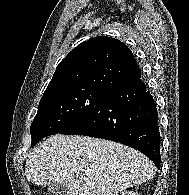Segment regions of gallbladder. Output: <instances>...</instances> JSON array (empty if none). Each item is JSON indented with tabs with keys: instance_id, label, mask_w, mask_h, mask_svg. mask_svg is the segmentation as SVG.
I'll return each mask as SVG.
<instances>
[{
	"instance_id": "gallbladder-1",
	"label": "gallbladder",
	"mask_w": 189,
	"mask_h": 195,
	"mask_svg": "<svg viewBox=\"0 0 189 195\" xmlns=\"http://www.w3.org/2000/svg\"><path fill=\"white\" fill-rule=\"evenodd\" d=\"M48 191L54 193L55 195H67L68 188L65 184L54 182L48 185Z\"/></svg>"
}]
</instances>
